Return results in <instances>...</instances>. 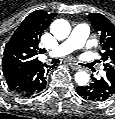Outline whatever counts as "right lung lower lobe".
<instances>
[{"mask_svg": "<svg viewBox=\"0 0 115 119\" xmlns=\"http://www.w3.org/2000/svg\"><path fill=\"white\" fill-rule=\"evenodd\" d=\"M47 65L34 66L22 72L6 77L8 87L15 93L35 97L46 86Z\"/></svg>", "mask_w": 115, "mask_h": 119, "instance_id": "98d812e1", "label": "right lung lower lobe"}]
</instances>
